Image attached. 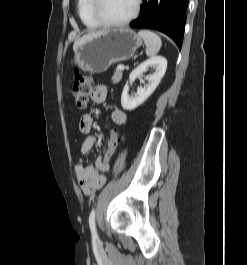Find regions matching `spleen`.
Returning a JSON list of instances; mask_svg holds the SVG:
<instances>
[{"mask_svg": "<svg viewBox=\"0 0 247 265\" xmlns=\"http://www.w3.org/2000/svg\"><path fill=\"white\" fill-rule=\"evenodd\" d=\"M138 36L144 40V44L146 46L145 52L147 56L153 57L159 52L162 41L156 33L148 30H141L138 32Z\"/></svg>", "mask_w": 247, "mask_h": 265, "instance_id": "1", "label": "spleen"}]
</instances>
